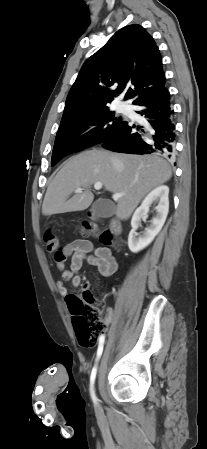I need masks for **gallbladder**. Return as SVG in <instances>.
Listing matches in <instances>:
<instances>
[{"label": "gallbladder", "instance_id": "bac80fb5", "mask_svg": "<svg viewBox=\"0 0 207 449\" xmlns=\"http://www.w3.org/2000/svg\"><path fill=\"white\" fill-rule=\"evenodd\" d=\"M91 210L99 217L108 218L114 214L115 206L108 200L98 199L93 203Z\"/></svg>", "mask_w": 207, "mask_h": 449}]
</instances>
